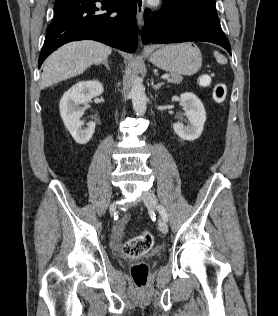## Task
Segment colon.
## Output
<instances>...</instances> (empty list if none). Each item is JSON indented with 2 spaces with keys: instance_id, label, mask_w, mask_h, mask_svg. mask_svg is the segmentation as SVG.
<instances>
[{
  "instance_id": "1",
  "label": "colon",
  "mask_w": 278,
  "mask_h": 316,
  "mask_svg": "<svg viewBox=\"0 0 278 316\" xmlns=\"http://www.w3.org/2000/svg\"><path fill=\"white\" fill-rule=\"evenodd\" d=\"M201 85H209L210 80L207 76L199 79ZM227 95V86L222 83H216L212 86V97L215 102L221 103ZM153 245V236L150 232L144 231L128 240L123 246V253L128 257H140L145 255ZM131 275L135 285L142 288L147 283L148 268L144 263H139L131 268Z\"/></svg>"
}]
</instances>
